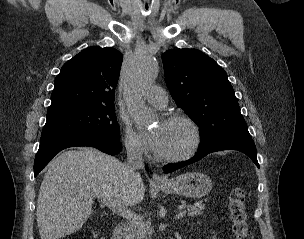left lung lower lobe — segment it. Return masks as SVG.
<instances>
[{
	"label": "left lung lower lobe",
	"mask_w": 304,
	"mask_h": 239,
	"mask_svg": "<svg viewBox=\"0 0 304 239\" xmlns=\"http://www.w3.org/2000/svg\"><path fill=\"white\" fill-rule=\"evenodd\" d=\"M220 150L240 151L246 154L247 156H249L252 159V161L256 164V166L259 168V164L257 161L256 147L252 139H229L214 145L200 148L199 151L196 153V155L188 161L177 164L166 165V167L164 168V172L165 173L173 172L183 166H186L188 164L200 160L202 157L206 156L209 153Z\"/></svg>",
	"instance_id": "left-lung-lower-lobe-1"
}]
</instances>
